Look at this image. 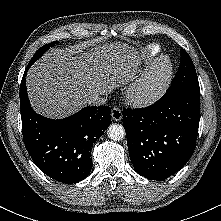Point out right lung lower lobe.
I'll list each match as a JSON object with an SVG mask.
<instances>
[{"mask_svg":"<svg viewBox=\"0 0 221 221\" xmlns=\"http://www.w3.org/2000/svg\"><path fill=\"white\" fill-rule=\"evenodd\" d=\"M20 85L23 140L34 163L50 178L75 183L91 172V147L111 122L108 106L85 107L61 120L37 114L31 107L25 76Z\"/></svg>","mask_w":221,"mask_h":221,"instance_id":"right-lung-lower-lobe-1","label":"right lung lower lobe"}]
</instances>
